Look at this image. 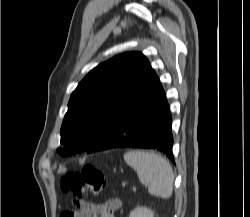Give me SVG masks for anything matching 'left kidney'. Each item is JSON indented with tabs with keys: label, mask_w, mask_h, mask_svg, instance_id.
Here are the masks:
<instances>
[{
	"label": "left kidney",
	"mask_w": 250,
	"mask_h": 217,
	"mask_svg": "<svg viewBox=\"0 0 250 217\" xmlns=\"http://www.w3.org/2000/svg\"><path fill=\"white\" fill-rule=\"evenodd\" d=\"M129 217H154V212L146 207H137L130 213Z\"/></svg>",
	"instance_id": "1"
}]
</instances>
